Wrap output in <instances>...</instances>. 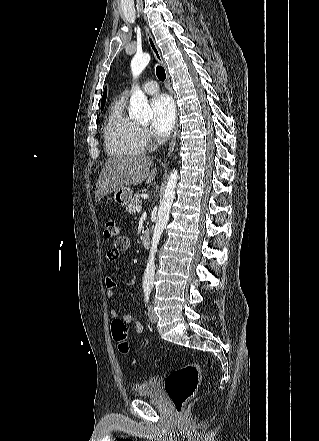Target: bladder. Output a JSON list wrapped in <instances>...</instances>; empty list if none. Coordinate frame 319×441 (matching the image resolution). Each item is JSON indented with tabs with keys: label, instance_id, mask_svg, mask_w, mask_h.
Here are the masks:
<instances>
[{
	"label": "bladder",
	"instance_id": "bladder-1",
	"mask_svg": "<svg viewBox=\"0 0 319 441\" xmlns=\"http://www.w3.org/2000/svg\"><path fill=\"white\" fill-rule=\"evenodd\" d=\"M133 393L138 398L156 396L158 394L157 377H151L148 380L135 384L133 386Z\"/></svg>",
	"mask_w": 319,
	"mask_h": 441
}]
</instances>
